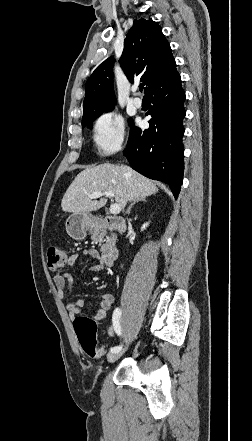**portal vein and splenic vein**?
Segmentation results:
<instances>
[{"label": "portal vein and splenic vein", "instance_id": "obj_1", "mask_svg": "<svg viewBox=\"0 0 252 441\" xmlns=\"http://www.w3.org/2000/svg\"><path fill=\"white\" fill-rule=\"evenodd\" d=\"M104 195L107 196V197H113L114 193L112 191L94 192V193L89 195V198L96 199V198H99V197L104 196ZM120 211H121V207H120L119 204H112L110 206V213L111 214L116 215V214H119Z\"/></svg>", "mask_w": 252, "mask_h": 441}]
</instances>
